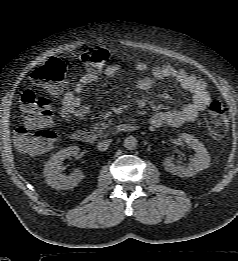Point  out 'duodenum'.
Wrapping results in <instances>:
<instances>
[{
	"mask_svg": "<svg viewBox=\"0 0 238 261\" xmlns=\"http://www.w3.org/2000/svg\"><path fill=\"white\" fill-rule=\"evenodd\" d=\"M136 129V126L134 124L131 123H122L119 124L118 126H116L113 131L115 132H119V133H129L132 132ZM100 135L90 132V131H86V130H76L74 132H72L71 134V138L78 142V143H82V144H94L96 143L99 139H100Z\"/></svg>",
	"mask_w": 238,
	"mask_h": 261,
	"instance_id": "duodenum-1",
	"label": "duodenum"
}]
</instances>
